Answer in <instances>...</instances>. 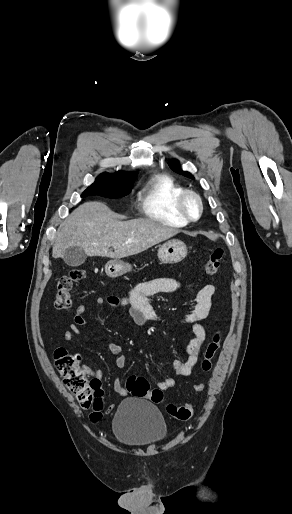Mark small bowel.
I'll list each match as a JSON object with an SVG mask.
<instances>
[{
    "label": "small bowel",
    "mask_w": 292,
    "mask_h": 514,
    "mask_svg": "<svg viewBox=\"0 0 292 514\" xmlns=\"http://www.w3.org/2000/svg\"><path fill=\"white\" fill-rule=\"evenodd\" d=\"M180 287V281L174 278L154 279L136 284L126 297H118L115 295L108 297L97 296L94 299V303L97 306L107 305L112 309H124L128 318L139 326H145L150 323L160 322V317L149 303L148 298L159 293L175 292ZM214 292L215 287L212 284L205 285L198 292L196 306L185 319V323L191 326L193 332V338L185 349L186 360H175L172 364L174 377H168L158 382L157 389L161 391L171 389L176 385V378L187 377L192 373L206 340V330L201 322L206 320L209 316ZM86 311L87 307L85 304H79L75 308L73 322L69 329L65 330L63 333V338L66 341H72L78 334L79 329L88 325L85 318ZM107 347L115 356L116 366L119 368L124 367L126 364V356L123 353L121 345L115 342H109ZM83 369L87 370L89 374L98 379L102 377V372L99 370L98 365L87 364L83 366ZM113 388L115 393L121 397L128 395V391L123 386L120 378L115 380ZM114 409L115 406L110 404L105 409V412L110 414Z\"/></svg>",
    "instance_id": "obj_1"
}]
</instances>
